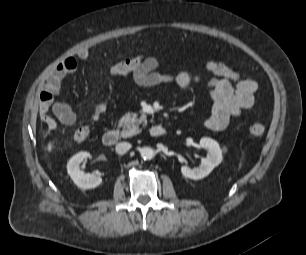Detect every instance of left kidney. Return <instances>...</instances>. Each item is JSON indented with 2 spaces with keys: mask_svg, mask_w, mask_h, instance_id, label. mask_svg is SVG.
<instances>
[{
  "mask_svg": "<svg viewBox=\"0 0 306 255\" xmlns=\"http://www.w3.org/2000/svg\"><path fill=\"white\" fill-rule=\"evenodd\" d=\"M199 144L207 150V155L201 159V164L195 168L181 167L182 175L194 180L206 177L222 161V151L218 142L211 138L203 137L200 139Z\"/></svg>",
  "mask_w": 306,
  "mask_h": 255,
  "instance_id": "1",
  "label": "left kidney"
}]
</instances>
